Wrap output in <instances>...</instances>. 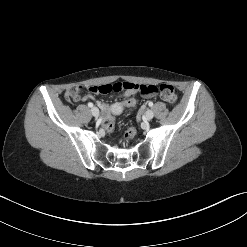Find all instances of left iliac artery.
Wrapping results in <instances>:
<instances>
[{
	"label": "left iliac artery",
	"instance_id": "left-iliac-artery-1",
	"mask_svg": "<svg viewBox=\"0 0 247 247\" xmlns=\"http://www.w3.org/2000/svg\"><path fill=\"white\" fill-rule=\"evenodd\" d=\"M148 105H149L150 107H152V106H153V102H149Z\"/></svg>",
	"mask_w": 247,
	"mask_h": 247
}]
</instances>
